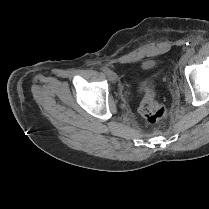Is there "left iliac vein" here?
Instances as JSON below:
<instances>
[{
  "label": "left iliac vein",
  "instance_id": "1",
  "mask_svg": "<svg viewBox=\"0 0 209 209\" xmlns=\"http://www.w3.org/2000/svg\"><path fill=\"white\" fill-rule=\"evenodd\" d=\"M188 59H189V55L188 54H184L181 57V59H180V65L184 66L188 62Z\"/></svg>",
  "mask_w": 209,
  "mask_h": 209
}]
</instances>
